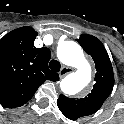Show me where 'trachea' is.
<instances>
[{
    "instance_id": "3493384b",
    "label": "trachea",
    "mask_w": 124,
    "mask_h": 124,
    "mask_svg": "<svg viewBox=\"0 0 124 124\" xmlns=\"http://www.w3.org/2000/svg\"><path fill=\"white\" fill-rule=\"evenodd\" d=\"M49 67L52 71L59 72L61 64L57 60H51L49 63Z\"/></svg>"
}]
</instances>
